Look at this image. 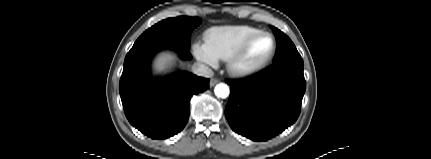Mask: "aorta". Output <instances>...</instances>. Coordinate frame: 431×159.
<instances>
[{
    "label": "aorta",
    "mask_w": 431,
    "mask_h": 159,
    "mask_svg": "<svg viewBox=\"0 0 431 159\" xmlns=\"http://www.w3.org/2000/svg\"><path fill=\"white\" fill-rule=\"evenodd\" d=\"M214 93L217 97L226 98L228 97L230 90L226 84L220 83L215 86Z\"/></svg>",
    "instance_id": "762f6f07"
}]
</instances>
